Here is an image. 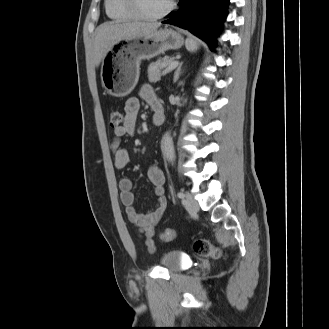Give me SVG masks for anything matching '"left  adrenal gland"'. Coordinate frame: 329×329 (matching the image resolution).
<instances>
[{
  "instance_id": "a2214340",
  "label": "left adrenal gland",
  "mask_w": 329,
  "mask_h": 329,
  "mask_svg": "<svg viewBox=\"0 0 329 329\" xmlns=\"http://www.w3.org/2000/svg\"><path fill=\"white\" fill-rule=\"evenodd\" d=\"M182 65H183V62L179 63L175 73H174V83L179 79L180 75L182 74Z\"/></svg>"
}]
</instances>
